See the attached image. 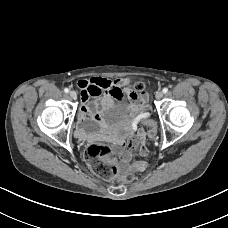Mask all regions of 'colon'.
<instances>
[{
    "label": "colon",
    "mask_w": 228,
    "mask_h": 228,
    "mask_svg": "<svg viewBox=\"0 0 228 228\" xmlns=\"http://www.w3.org/2000/svg\"><path fill=\"white\" fill-rule=\"evenodd\" d=\"M137 87L139 90H143L141 84H138ZM147 125L149 127V135L153 137L156 133L154 123L147 121ZM85 159L91 171L103 179H120L128 183L135 179V175L132 172H128L121 177L118 176L117 154L111 146L100 143L91 144L86 150Z\"/></svg>",
    "instance_id": "5ec220e1"
}]
</instances>
